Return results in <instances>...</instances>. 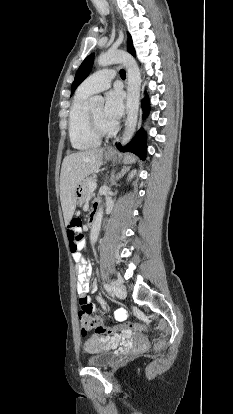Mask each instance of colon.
<instances>
[{
  "label": "colon",
  "instance_id": "1",
  "mask_svg": "<svg viewBox=\"0 0 233 414\" xmlns=\"http://www.w3.org/2000/svg\"><path fill=\"white\" fill-rule=\"evenodd\" d=\"M81 220L74 218L68 226V239L70 249L72 252L80 251L81 244L84 243L83 233L80 231ZM80 311L79 319L81 324V333L86 335L89 331L94 330L100 335H117L126 331L132 332H147L145 325L138 322H124L121 326L107 327L101 319L93 314V304L86 297H81L79 300Z\"/></svg>",
  "mask_w": 233,
  "mask_h": 414
}]
</instances>
